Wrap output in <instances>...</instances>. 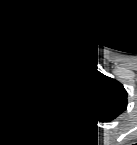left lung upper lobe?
<instances>
[{
    "instance_id": "obj_1",
    "label": "left lung upper lobe",
    "mask_w": 137,
    "mask_h": 145,
    "mask_svg": "<svg viewBox=\"0 0 137 145\" xmlns=\"http://www.w3.org/2000/svg\"><path fill=\"white\" fill-rule=\"evenodd\" d=\"M82 110L94 119L117 117L127 106V92L117 81L90 69L73 90Z\"/></svg>"
}]
</instances>
